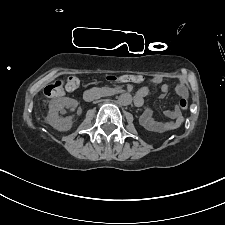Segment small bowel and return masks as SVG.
<instances>
[{
  "label": "small bowel",
  "mask_w": 225,
  "mask_h": 225,
  "mask_svg": "<svg viewBox=\"0 0 225 225\" xmlns=\"http://www.w3.org/2000/svg\"><path fill=\"white\" fill-rule=\"evenodd\" d=\"M162 83V78L159 76L153 77L151 84L153 86L160 85ZM171 84L165 83L161 85L162 96H165L169 93ZM150 89L144 87L140 89L136 96L138 99L142 100V103L138 106H141L144 101V97L149 93ZM175 92L181 97L188 96V90L182 80H179L175 83ZM164 116L168 118V121H158L154 118L151 109L146 108L144 113L141 116L142 125L153 132H163L177 128L183 122V116L179 108H174L172 110H167L164 112Z\"/></svg>",
  "instance_id": "obj_1"
}]
</instances>
